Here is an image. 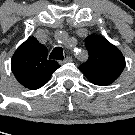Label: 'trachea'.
I'll return each mask as SVG.
<instances>
[{
  "label": "trachea",
  "instance_id": "1",
  "mask_svg": "<svg viewBox=\"0 0 135 135\" xmlns=\"http://www.w3.org/2000/svg\"><path fill=\"white\" fill-rule=\"evenodd\" d=\"M49 59H56V60H63L64 56H63V49L61 47H55L50 56Z\"/></svg>",
  "mask_w": 135,
  "mask_h": 135
}]
</instances>
